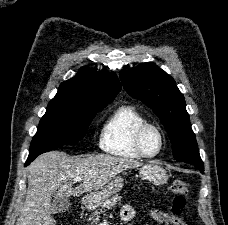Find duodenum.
Instances as JSON below:
<instances>
[{
	"instance_id": "1",
	"label": "duodenum",
	"mask_w": 228,
	"mask_h": 225,
	"mask_svg": "<svg viewBox=\"0 0 228 225\" xmlns=\"http://www.w3.org/2000/svg\"><path fill=\"white\" fill-rule=\"evenodd\" d=\"M92 202V196L85 197L84 199L80 200L78 202L77 208L79 210H84L86 207L89 206V204Z\"/></svg>"
}]
</instances>
